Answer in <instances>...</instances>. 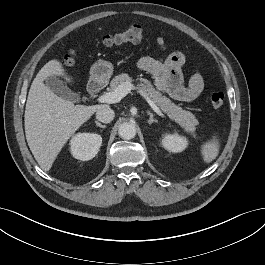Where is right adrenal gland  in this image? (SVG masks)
Instances as JSON below:
<instances>
[{
    "mask_svg": "<svg viewBox=\"0 0 265 265\" xmlns=\"http://www.w3.org/2000/svg\"><path fill=\"white\" fill-rule=\"evenodd\" d=\"M96 126L105 129L106 125H102L101 123H99L98 121H95Z\"/></svg>",
    "mask_w": 265,
    "mask_h": 265,
    "instance_id": "right-adrenal-gland-1",
    "label": "right adrenal gland"
}]
</instances>
